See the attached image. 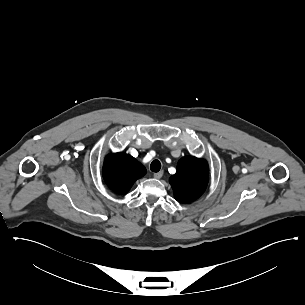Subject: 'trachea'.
<instances>
[{
    "label": "trachea",
    "instance_id": "trachea-1",
    "mask_svg": "<svg viewBox=\"0 0 305 305\" xmlns=\"http://www.w3.org/2000/svg\"><path fill=\"white\" fill-rule=\"evenodd\" d=\"M150 169L152 172H158L161 169V163L159 160H153L150 165Z\"/></svg>",
    "mask_w": 305,
    "mask_h": 305
}]
</instances>
